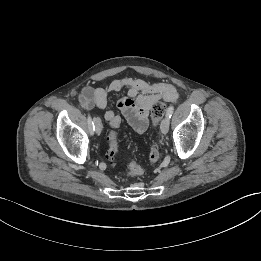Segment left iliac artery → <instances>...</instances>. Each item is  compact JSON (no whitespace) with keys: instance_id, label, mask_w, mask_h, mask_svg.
Instances as JSON below:
<instances>
[{"instance_id":"1","label":"left iliac artery","mask_w":261,"mask_h":261,"mask_svg":"<svg viewBox=\"0 0 261 261\" xmlns=\"http://www.w3.org/2000/svg\"><path fill=\"white\" fill-rule=\"evenodd\" d=\"M173 111H174V107L173 106H170L168 109H167V112H166V117L168 119L171 118L172 114H173Z\"/></svg>"}]
</instances>
